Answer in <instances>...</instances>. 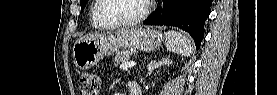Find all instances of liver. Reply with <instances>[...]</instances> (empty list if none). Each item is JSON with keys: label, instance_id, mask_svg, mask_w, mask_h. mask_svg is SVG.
Listing matches in <instances>:
<instances>
[{"label": "liver", "instance_id": "1", "mask_svg": "<svg viewBox=\"0 0 277 95\" xmlns=\"http://www.w3.org/2000/svg\"><path fill=\"white\" fill-rule=\"evenodd\" d=\"M99 36H102V35H99V34H91V35H88V37H91V38H95V37H99Z\"/></svg>", "mask_w": 277, "mask_h": 95}]
</instances>
